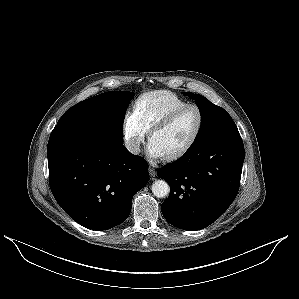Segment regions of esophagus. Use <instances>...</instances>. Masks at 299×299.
Returning a JSON list of instances; mask_svg holds the SVG:
<instances>
[{
  "label": "esophagus",
  "mask_w": 299,
  "mask_h": 299,
  "mask_svg": "<svg viewBox=\"0 0 299 299\" xmlns=\"http://www.w3.org/2000/svg\"><path fill=\"white\" fill-rule=\"evenodd\" d=\"M149 174L151 177L156 176V170L152 166H149Z\"/></svg>",
  "instance_id": "obj_1"
}]
</instances>
